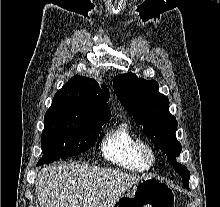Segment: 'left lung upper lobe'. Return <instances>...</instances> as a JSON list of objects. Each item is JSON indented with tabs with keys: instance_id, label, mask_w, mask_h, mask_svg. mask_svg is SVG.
Returning a JSON list of instances; mask_svg holds the SVG:
<instances>
[{
	"instance_id": "obj_1",
	"label": "left lung upper lobe",
	"mask_w": 220,
	"mask_h": 207,
	"mask_svg": "<svg viewBox=\"0 0 220 207\" xmlns=\"http://www.w3.org/2000/svg\"><path fill=\"white\" fill-rule=\"evenodd\" d=\"M113 86L123 107L133 114L134 120L143 126L147 137L167 155L173 167L183 166L176 161L181 152V144L175 136L177 121L169 112L168 98L158 92V83L129 72L115 76Z\"/></svg>"
}]
</instances>
